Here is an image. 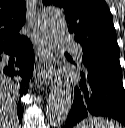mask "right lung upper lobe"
Here are the masks:
<instances>
[{
  "label": "right lung upper lobe",
  "mask_w": 125,
  "mask_h": 128,
  "mask_svg": "<svg viewBox=\"0 0 125 128\" xmlns=\"http://www.w3.org/2000/svg\"><path fill=\"white\" fill-rule=\"evenodd\" d=\"M25 20V0H0V48L25 37L19 34Z\"/></svg>",
  "instance_id": "1"
}]
</instances>
